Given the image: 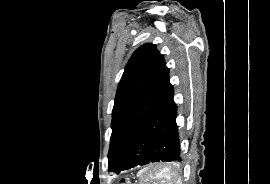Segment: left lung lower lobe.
Returning <instances> with one entry per match:
<instances>
[{
	"instance_id": "obj_1",
	"label": "left lung lower lobe",
	"mask_w": 270,
	"mask_h": 184,
	"mask_svg": "<svg viewBox=\"0 0 270 184\" xmlns=\"http://www.w3.org/2000/svg\"><path fill=\"white\" fill-rule=\"evenodd\" d=\"M173 97L172 86L135 140L122 166L115 171L116 174L138 165L181 160L179 132L176 124L177 106Z\"/></svg>"
}]
</instances>
